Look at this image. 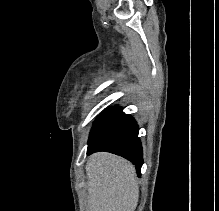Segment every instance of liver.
I'll return each mask as SVG.
<instances>
[{"mask_svg": "<svg viewBox=\"0 0 219 211\" xmlns=\"http://www.w3.org/2000/svg\"><path fill=\"white\" fill-rule=\"evenodd\" d=\"M87 211H134L139 197L136 169L133 163L107 151L88 157Z\"/></svg>", "mask_w": 219, "mask_h": 211, "instance_id": "obj_1", "label": "liver"}]
</instances>
